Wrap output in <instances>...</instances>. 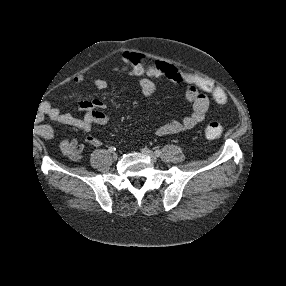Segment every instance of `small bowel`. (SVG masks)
I'll return each instance as SVG.
<instances>
[{"label":"small bowel","instance_id":"1","mask_svg":"<svg viewBox=\"0 0 286 286\" xmlns=\"http://www.w3.org/2000/svg\"><path fill=\"white\" fill-rule=\"evenodd\" d=\"M165 65L168 68L167 79L186 85V100L191 106V113L182 120L172 119L161 125L156 130V134L158 136H166L192 129L204 120L209 108L208 97L199 92L195 81L189 77V72L171 64ZM138 84L141 92L146 96L152 95L156 90L155 82L149 77L140 76ZM95 86L97 89L103 90L107 88L108 84L105 79L97 78L95 79ZM79 108L85 112L82 118H77L71 114L63 113L56 107H51L47 114L49 118L56 123L74 127L83 131H89L93 125L107 124L108 117L104 112L105 105L101 100H81L79 102ZM42 133L46 137H51L54 134V129L51 126L44 125L42 127ZM85 142L86 144L94 147L101 145L99 138L93 135H88ZM60 150L63 155L67 156L72 161H79L84 153L85 146L79 143L76 139L69 138L61 141Z\"/></svg>","mask_w":286,"mask_h":286}]
</instances>
